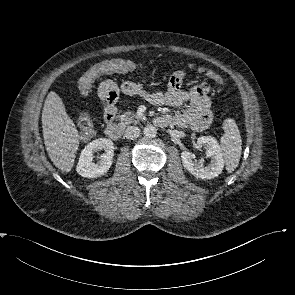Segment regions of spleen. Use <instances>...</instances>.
<instances>
[{"label":"spleen","instance_id":"obj_1","mask_svg":"<svg viewBox=\"0 0 295 295\" xmlns=\"http://www.w3.org/2000/svg\"><path fill=\"white\" fill-rule=\"evenodd\" d=\"M225 134L220 139V150L223 155L228 173H232L238 166L242 140L237 124L232 118H227L223 122Z\"/></svg>","mask_w":295,"mask_h":295}]
</instances>
